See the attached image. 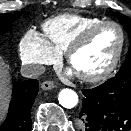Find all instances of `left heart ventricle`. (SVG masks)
<instances>
[{
  "instance_id": "b2bd125f",
  "label": "left heart ventricle",
  "mask_w": 131,
  "mask_h": 131,
  "mask_svg": "<svg viewBox=\"0 0 131 131\" xmlns=\"http://www.w3.org/2000/svg\"><path fill=\"white\" fill-rule=\"evenodd\" d=\"M120 43V33L114 26L97 30L89 41L78 50L71 61L77 73L93 74L103 70L114 58Z\"/></svg>"
}]
</instances>
